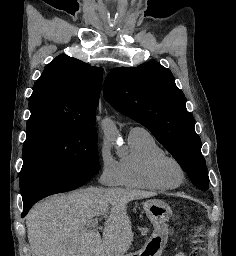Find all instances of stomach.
Listing matches in <instances>:
<instances>
[{
	"mask_svg": "<svg viewBox=\"0 0 236 256\" xmlns=\"http://www.w3.org/2000/svg\"><path fill=\"white\" fill-rule=\"evenodd\" d=\"M143 207L153 224V233L141 250L126 256H161L168 239L167 222L172 216V210L164 201L157 199L146 201Z\"/></svg>",
	"mask_w": 236,
	"mask_h": 256,
	"instance_id": "0dacf381",
	"label": "stomach"
}]
</instances>
